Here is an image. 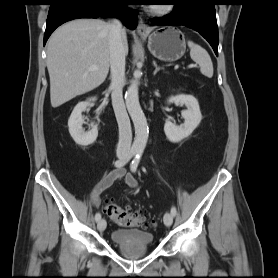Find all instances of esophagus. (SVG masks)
Listing matches in <instances>:
<instances>
[{
	"label": "esophagus",
	"instance_id": "34e87169",
	"mask_svg": "<svg viewBox=\"0 0 278 278\" xmlns=\"http://www.w3.org/2000/svg\"><path fill=\"white\" fill-rule=\"evenodd\" d=\"M137 33L140 36H145L148 33L147 26L141 17L139 18V21H138Z\"/></svg>",
	"mask_w": 278,
	"mask_h": 278
}]
</instances>
